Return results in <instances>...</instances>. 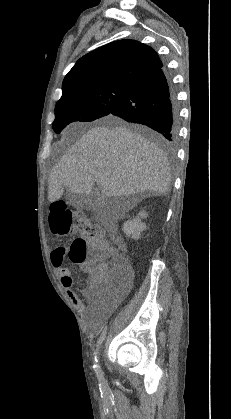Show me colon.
Returning <instances> with one entry per match:
<instances>
[{"label": "colon", "instance_id": "1", "mask_svg": "<svg viewBox=\"0 0 231 419\" xmlns=\"http://www.w3.org/2000/svg\"><path fill=\"white\" fill-rule=\"evenodd\" d=\"M52 228L60 234L78 232L82 235L75 239L69 249V258L73 263H85L89 280L93 285L108 284L112 291L120 289L121 283L130 277V267L121 256L114 254L113 247L99 238L96 227L82 215L74 213L63 202L51 205ZM112 258L107 263L108 258ZM61 263V259H55Z\"/></svg>", "mask_w": 231, "mask_h": 419}]
</instances>
